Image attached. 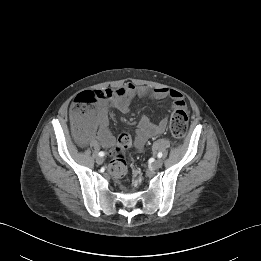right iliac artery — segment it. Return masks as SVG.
<instances>
[{"label":"right iliac artery","mask_w":261,"mask_h":261,"mask_svg":"<svg viewBox=\"0 0 261 261\" xmlns=\"http://www.w3.org/2000/svg\"><path fill=\"white\" fill-rule=\"evenodd\" d=\"M98 155H99L100 157H103V156L105 155V153L101 151V152L98 153Z\"/></svg>","instance_id":"right-iliac-artery-1"}]
</instances>
